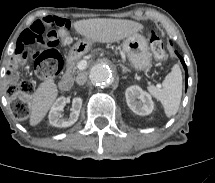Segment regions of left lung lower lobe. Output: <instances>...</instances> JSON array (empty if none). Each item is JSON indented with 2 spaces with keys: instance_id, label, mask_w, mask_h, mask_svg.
<instances>
[{
  "instance_id": "obj_1",
  "label": "left lung lower lobe",
  "mask_w": 215,
  "mask_h": 183,
  "mask_svg": "<svg viewBox=\"0 0 215 183\" xmlns=\"http://www.w3.org/2000/svg\"><path fill=\"white\" fill-rule=\"evenodd\" d=\"M176 52V51H175ZM176 54L178 55V57L180 58L181 60V63L185 69V74H186V77H185V80H186V88H187V79H188V73H187V67H186V64L185 62L183 61V59L180 57V55L176 52Z\"/></svg>"
}]
</instances>
